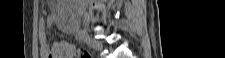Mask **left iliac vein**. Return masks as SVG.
Listing matches in <instances>:
<instances>
[{"label":"left iliac vein","mask_w":225,"mask_h":58,"mask_svg":"<svg viewBox=\"0 0 225 58\" xmlns=\"http://www.w3.org/2000/svg\"><path fill=\"white\" fill-rule=\"evenodd\" d=\"M85 41L91 48H93L95 50L100 51L103 49L102 43L99 42L98 40H95V39H92V38L86 36Z\"/></svg>","instance_id":"left-iliac-vein-1"}]
</instances>
